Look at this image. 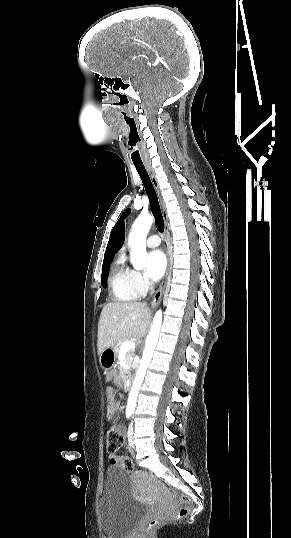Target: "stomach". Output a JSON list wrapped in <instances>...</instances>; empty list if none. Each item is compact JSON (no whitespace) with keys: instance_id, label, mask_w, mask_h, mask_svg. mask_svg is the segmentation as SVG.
I'll list each match as a JSON object with an SVG mask.
<instances>
[{"instance_id":"stomach-1","label":"stomach","mask_w":291,"mask_h":538,"mask_svg":"<svg viewBox=\"0 0 291 538\" xmlns=\"http://www.w3.org/2000/svg\"><path fill=\"white\" fill-rule=\"evenodd\" d=\"M116 358L114 348H107L100 354V364L104 369L111 368L115 365Z\"/></svg>"}]
</instances>
